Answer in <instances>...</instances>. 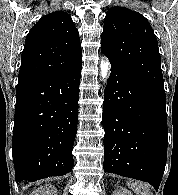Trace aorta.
<instances>
[{
    "label": "aorta",
    "instance_id": "aorta-1",
    "mask_svg": "<svg viewBox=\"0 0 178 195\" xmlns=\"http://www.w3.org/2000/svg\"><path fill=\"white\" fill-rule=\"evenodd\" d=\"M109 72H110V63L108 59L105 58L100 63V73H101V77L103 78V80L106 81L108 79Z\"/></svg>",
    "mask_w": 178,
    "mask_h": 195
}]
</instances>
